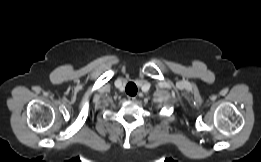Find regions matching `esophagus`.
<instances>
[{
  "label": "esophagus",
  "mask_w": 261,
  "mask_h": 162,
  "mask_svg": "<svg viewBox=\"0 0 261 162\" xmlns=\"http://www.w3.org/2000/svg\"><path fill=\"white\" fill-rule=\"evenodd\" d=\"M128 99H129L130 101H135V100H136V97L128 96Z\"/></svg>",
  "instance_id": "34e87169"
}]
</instances>
